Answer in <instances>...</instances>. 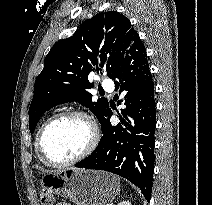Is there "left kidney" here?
<instances>
[{"label": "left kidney", "instance_id": "obj_1", "mask_svg": "<svg viewBox=\"0 0 212 205\" xmlns=\"http://www.w3.org/2000/svg\"><path fill=\"white\" fill-rule=\"evenodd\" d=\"M118 205H131L129 201H122Z\"/></svg>", "mask_w": 212, "mask_h": 205}]
</instances>
